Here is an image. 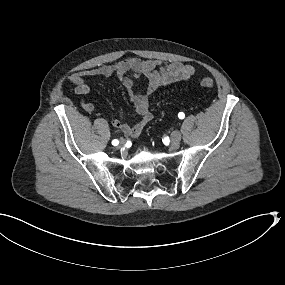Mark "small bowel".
I'll use <instances>...</instances> for the list:
<instances>
[{
    "mask_svg": "<svg viewBox=\"0 0 285 285\" xmlns=\"http://www.w3.org/2000/svg\"><path fill=\"white\" fill-rule=\"evenodd\" d=\"M195 74L191 65L179 62H167L162 60H149L138 58H127L110 65L95 69H89L70 75L69 80L74 85V92L78 96L89 93L90 85L86 81L91 77H112L116 76L127 90L139 120L134 125H129L119 119H113L112 125L128 137H137L145 126L152 120V113L149 108V97L160 87L172 83L186 81ZM144 76L147 79V86L144 93L134 90L135 79ZM83 109L87 112H94L92 103L81 101Z\"/></svg>",
    "mask_w": 285,
    "mask_h": 285,
    "instance_id": "obj_1",
    "label": "small bowel"
}]
</instances>
